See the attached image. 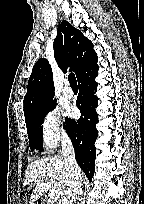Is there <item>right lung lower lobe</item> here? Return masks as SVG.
I'll use <instances>...</instances> for the list:
<instances>
[{
	"label": "right lung lower lobe",
	"instance_id": "1",
	"mask_svg": "<svg viewBox=\"0 0 144 204\" xmlns=\"http://www.w3.org/2000/svg\"><path fill=\"white\" fill-rule=\"evenodd\" d=\"M98 69V65L95 64L78 78L79 95L76 105L81 117L77 121L66 118L64 125L74 145L76 161L89 181L92 180L95 171L94 142L98 137L96 129L98 115L95 110L98 98L94 95L98 85L94 78L98 74Z\"/></svg>",
	"mask_w": 144,
	"mask_h": 204
}]
</instances>
